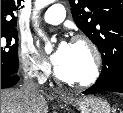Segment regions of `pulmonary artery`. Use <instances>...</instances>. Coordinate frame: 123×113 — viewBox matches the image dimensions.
<instances>
[{
	"mask_svg": "<svg viewBox=\"0 0 123 113\" xmlns=\"http://www.w3.org/2000/svg\"><path fill=\"white\" fill-rule=\"evenodd\" d=\"M65 18V8L61 4L51 5L44 13L43 20L49 24H59Z\"/></svg>",
	"mask_w": 123,
	"mask_h": 113,
	"instance_id": "obj_1",
	"label": "pulmonary artery"
}]
</instances>
